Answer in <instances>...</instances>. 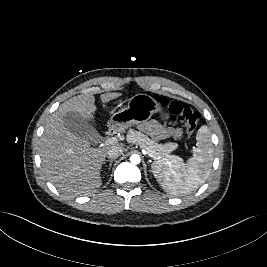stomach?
Returning a JSON list of instances; mask_svg holds the SVG:
<instances>
[{"mask_svg":"<svg viewBox=\"0 0 267 267\" xmlns=\"http://www.w3.org/2000/svg\"><path fill=\"white\" fill-rule=\"evenodd\" d=\"M160 103L147 94H135L129 98L127 107L122 108L114 113L108 126L113 129H126L131 125H138L151 118L154 113L161 112ZM169 117L163 115L162 119L167 120Z\"/></svg>","mask_w":267,"mask_h":267,"instance_id":"stomach-1","label":"stomach"}]
</instances>
